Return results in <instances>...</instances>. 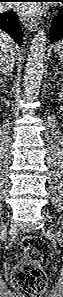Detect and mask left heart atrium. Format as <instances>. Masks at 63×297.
Masks as SVG:
<instances>
[{
	"mask_svg": "<svg viewBox=\"0 0 63 297\" xmlns=\"http://www.w3.org/2000/svg\"><path fill=\"white\" fill-rule=\"evenodd\" d=\"M24 14L34 15L41 11V7L38 4L34 3H24L17 7Z\"/></svg>",
	"mask_w": 63,
	"mask_h": 297,
	"instance_id": "obj_1",
	"label": "left heart atrium"
}]
</instances>
